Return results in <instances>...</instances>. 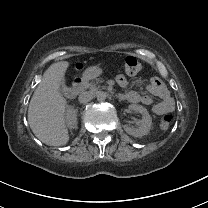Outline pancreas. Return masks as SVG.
Returning <instances> with one entry per match:
<instances>
[{
	"mask_svg": "<svg viewBox=\"0 0 208 208\" xmlns=\"http://www.w3.org/2000/svg\"><path fill=\"white\" fill-rule=\"evenodd\" d=\"M98 82L99 81L97 80V81H92V82L86 83V84H84V88L89 89V90H91L93 92L99 91L101 89H104L105 86H97Z\"/></svg>",
	"mask_w": 208,
	"mask_h": 208,
	"instance_id": "pancreas-1",
	"label": "pancreas"
}]
</instances>
